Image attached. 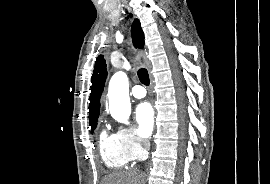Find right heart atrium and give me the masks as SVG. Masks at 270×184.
Instances as JSON below:
<instances>
[{"mask_svg": "<svg viewBox=\"0 0 270 184\" xmlns=\"http://www.w3.org/2000/svg\"><path fill=\"white\" fill-rule=\"evenodd\" d=\"M116 135L131 160L141 159L145 155L147 141L134 128L119 127Z\"/></svg>", "mask_w": 270, "mask_h": 184, "instance_id": "obj_1", "label": "right heart atrium"}]
</instances>
